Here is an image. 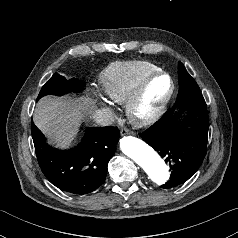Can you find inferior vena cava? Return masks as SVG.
Segmentation results:
<instances>
[{
  "mask_svg": "<svg viewBox=\"0 0 238 238\" xmlns=\"http://www.w3.org/2000/svg\"><path fill=\"white\" fill-rule=\"evenodd\" d=\"M93 120L101 126H109L114 123V116L108 109L97 110L92 114Z\"/></svg>",
  "mask_w": 238,
  "mask_h": 238,
  "instance_id": "1",
  "label": "inferior vena cava"
}]
</instances>
